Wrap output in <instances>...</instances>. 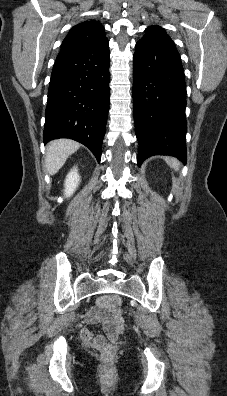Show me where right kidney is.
Segmentation results:
<instances>
[{
	"label": "right kidney",
	"mask_w": 227,
	"mask_h": 396,
	"mask_svg": "<svg viewBox=\"0 0 227 396\" xmlns=\"http://www.w3.org/2000/svg\"><path fill=\"white\" fill-rule=\"evenodd\" d=\"M80 182V176L78 174V170L76 167L71 169L65 179V190L64 194L66 197H70L76 188L78 187Z\"/></svg>",
	"instance_id": "right-kidney-1"
}]
</instances>
